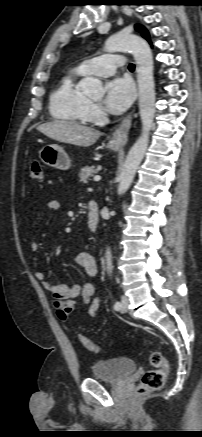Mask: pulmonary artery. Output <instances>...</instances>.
<instances>
[{"instance_id":"e3ab8cb5","label":"pulmonary artery","mask_w":202,"mask_h":437,"mask_svg":"<svg viewBox=\"0 0 202 437\" xmlns=\"http://www.w3.org/2000/svg\"><path fill=\"white\" fill-rule=\"evenodd\" d=\"M125 65V58L120 54H104L83 61L79 65L84 75L107 77L113 75L118 67Z\"/></svg>"}]
</instances>
